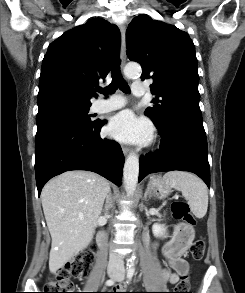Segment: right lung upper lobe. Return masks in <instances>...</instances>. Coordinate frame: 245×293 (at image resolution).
<instances>
[{"instance_id":"1","label":"right lung upper lobe","mask_w":245,"mask_h":293,"mask_svg":"<svg viewBox=\"0 0 245 293\" xmlns=\"http://www.w3.org/2000/svg\"><path fill=\"white\" fill-rule=\"evenodd\" d=\"M120 48V32L103 18L77 26L52 42L39 79L38 107L58 103L91 105L99 79L110 72Z\"/></svg>"}]
</instances>
